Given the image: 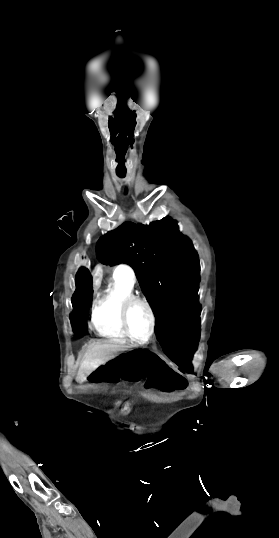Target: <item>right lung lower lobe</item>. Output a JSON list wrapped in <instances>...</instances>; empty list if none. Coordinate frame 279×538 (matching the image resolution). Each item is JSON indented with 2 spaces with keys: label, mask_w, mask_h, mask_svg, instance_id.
<instances>
[{
  "label": "right lung lower lobe",
  "mask_w": 279,
  "mask_h": 538,
  "mask_svg": "<svg viewBox=\"0 0 279 538\" xmlns=\"http://www.w3.org/2000/svg\"><path fill=\"white\" fill-rule=\"evenodd\" d=\"M76 291L72 297L74 310L71 315V323L76 333L86 334V312L93 298L92 278L89 271L81 268L77 273Z\"/></svg>",
  "instance_id": "1"
}]
</instances>
